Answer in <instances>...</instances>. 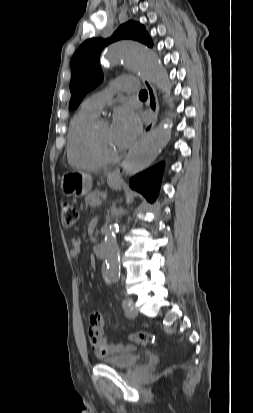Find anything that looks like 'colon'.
I'll list each match as a JSON object with an SVG mask.
<instances>
[{
  "mask_svg": "<svg viewBox=\"0 0 253 413\" xmlns=\"http://www.w3.org/2000/svg\"><path fill=\"white\" fill-rule=\"evenodd\" d=\"M60 213L62 223L66 227L73 226L78 219V211L73 204L68 201H62L60 204ZM74 246V245H73ZM128 340L139 344L154 343L155 338L147 332H132L128 335Z\"/></svg>",
  "mask_w": 253,
  "mask_h": 413,
  "instance_id": "5ec220e1",
  "label": "colon"
}]
</instances>
